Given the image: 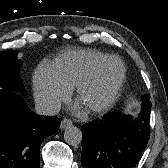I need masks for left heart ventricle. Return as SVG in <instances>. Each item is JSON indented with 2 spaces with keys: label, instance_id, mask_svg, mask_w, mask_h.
Wrapping results in <instances>:
<instances>
[{
  "label": "left heart ventricle",
  "instance_id": "obj_1",
  "mask_svg": "<svg viewBox=\"0 0 168 168\" xmlns=\"http://www.w3.org/2000/svg\"><path fill=\"white\" fill-rule=\"evenodd\" d=\"M119 66L116 62L106 63L99 71L95 81L84 91L81 104L84 107L100 103L109 93L119 77Z\"/></svg>",
  "mask_w": 168,
  "mask_h": 168
}]
</instances>
